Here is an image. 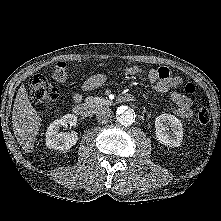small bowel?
Wrapping results in <instances>:
<instances>
[{
    "instance_id": "c3829d8e",
    "label": "small bowel",
    "mask_w": 221,
    "mask_h": 221,
    "mask_svg": "<svg viewBox=\"0 0 221 221\" xmlns=\"http://www.w3.org/2000/svg\"><path fill=\"white\" fill-rule=\"evenodd\" d=\"M127 75H138L141 70L137 66L128 67L125 70ZM147 79L151 83H154V91L158 94L167 93L173 89L180 88L183 85V80L179 76H174L170 70L166 67H161L159 69H151L147 72ZM108 79L105 73H96L91 75L84 83L83 90L92 91L103 86ZM170 99L176 104L173 109V113L181 118L189 119L193 116V111L191 109V99L186 95L174 90L170 93ZM74 100L80 102L82 100V95L76 93L74 95Z\"/></svg>"
}]
</instances>
